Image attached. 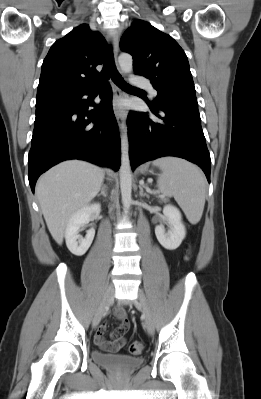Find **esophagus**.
I'll return each instance as SVG.
<instances>
[{"label":"esophagus","mask_w":261,"mask_h":399,"mask_svg":"<svg viewBox=\"0 0 261 399\" xmlns=\"http://www.w3.org/2000/svg\"><path fill=\"white\" fill-rule=\"evenodd\" d=\"M109 38L113 48L114 59L117 63V56L119 51V36L116 30L109 33ZM122 98V92L114 87V114L120 128L123 127L125 122V110L119 105V100Z\"/></svg>","instance_id":"1"}]
</instances>
